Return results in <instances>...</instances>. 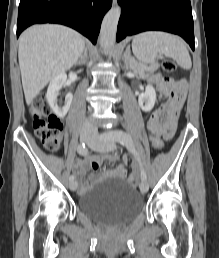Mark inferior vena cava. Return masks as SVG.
<instances>
[{
    "mask_svg": "<svg viewBox=\"0 0 219 258\" xmlns=\"http://www.w3.org/2000/svg\"><path fill=\"white\" fill-rule=\"evenodd\" d=\"M83 129L89 132H97V127L95 123L90 119L84 121Z\"/></svg>",
    "mask_w": 219,
    "mask_h": 258,
    "instance_id": "obj_1",
    "label": "inferior vena cava"
}]
</instances>
